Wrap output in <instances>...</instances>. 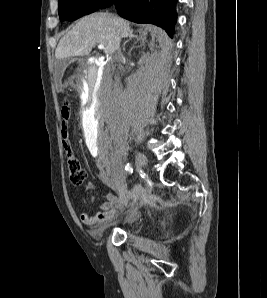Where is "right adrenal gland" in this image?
I'll return each instance as SVG.
<instances>
[{"mask_svg":"<svg viewBox=\"0 0 267 298\" xmlns=\"http://www.w3.org/2000/svg\"><path fill=\"white\" fill-rule=\"evenodd\" d=\"M132 38H138V36H137V35H134L133 33H131V34L129 35V39L126 40V41L124 42V44H123V46H124V50H125V45H126V43H127L130 39H132Z\"/></svg>","mask_w":267,"mask_h":298,"instance_id":"2a0ac1e0","label":"right adrenal gland"}]
</instances>
